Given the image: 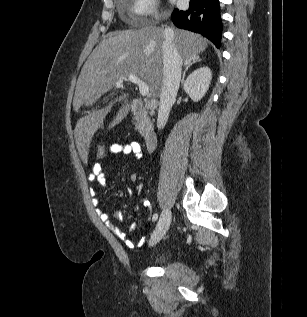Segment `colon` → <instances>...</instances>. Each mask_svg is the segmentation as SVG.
<instances>
[{
	"label": "colon",
	"mask_w": 307,
	"mask_h": 317,
	"mask_svg": "<svg viewBox=\"0 0 307 317\" xmlns=\"http://www.w3.org/2000/svg\"><path fill=\"white\" fill-rule=\"evenodd\" d=\"M109 153H111L110 147L104 146V145L98 146L95 152V156L98 163H101L102 161H104L107 158V155Z\"/></svg>",
	"instance_id": "obj_1"
}]
</instances>
